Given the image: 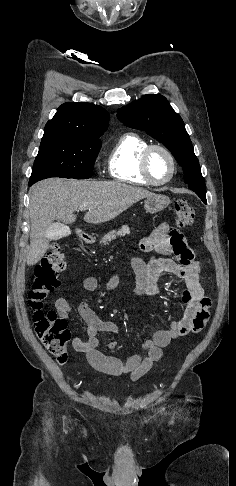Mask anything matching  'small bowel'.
I'll return each mask as SVG.
<instances>
[{"label":"small bowel","instance_id":"small-bowel-1","mask_svg":"<svg viewBox=\"0 0 236 486\" xmlns=\"http://www.w3.org/2000/svg\"><path fill=\"white\" fill-rule=\"evenodd\" d=\"M144 252L154 251L163 257H151L145 262L140 257L131 259V266L135 273L136 284L133 290L135 296L152 297L158 293L157 282L162 274L174 275L184 281L186 289L179 294L181 302L185 305L182 317L173 321L168 329H160L145 339L142 343L144 354L136 353L122 361L119 358L108 356L98 350V333H119V326L101 319L88 305L84 297L77 305V311L87 324V339L73 337L72 347L77 352L85 354L90 366L97 372L115 377L129 373L136 381L146 375L163 357V349L170 342L180 336L200 332L209 319L210 300L205 296L199 281V264L194 260V255L188 247L183 235L167 223L157 226L149 236L143 238L139 244ZM174 256L175 259L171 258ZM119 276L115 275L105 285L107 291L116 288ZM98 281L95 277H88L83 281L84 293L96 290ZM57 315L69 319L72 305L65 298L55 300ZM116 347L115 342H110V350Z\"/></svg>","mask_w":236,"mask_h":486}]
</instances>
